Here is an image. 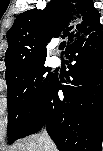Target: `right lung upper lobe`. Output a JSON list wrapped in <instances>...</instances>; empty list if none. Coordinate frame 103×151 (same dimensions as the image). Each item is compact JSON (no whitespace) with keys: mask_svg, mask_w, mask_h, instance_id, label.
Wrapping results in <instances>:
<instances>
[{"mask_svg":"<svg viewBox=\"0 0 103 151\" xmlns=\"http://www.w3.org/2000/svg\"><path fill=\"white\" fill-rule=\"evenodd\" d=\"M98 24L91 0H51L43 10L19 14L7 32V85L28 67L45 62L46 46L52 38L66 37L71 44Z\"/></svg>","mask_w":103,"mask_h":151,"instance_id":"right-lung-upper-lobe-1","label":"right lung upper lobe"}]
</instances>
